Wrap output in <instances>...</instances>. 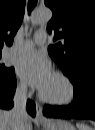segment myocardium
<instances>
[{
  "label": "myocardium",
  "mask_w": 95,
  "mask_h": 130,
  "mask_svg": "<svg viewBox=\"0 0 95 130\" xmlns=\"http://www.w3.org/2000/svg\"><path fill=\"white\" fill-rule=\"evenodd\" d=\"M53 75L61 78L67 85L68 87V94L65 98L63 99H52L49 97H46L43 93V91L40 89L39 90V98L48 104H52V105H66L69 104L73 101L74 97H75V86L72 82V80L63 72L61 71H55L53 73Z\"/></svg>",
  "instance_id": "1"
}]
</instances>
